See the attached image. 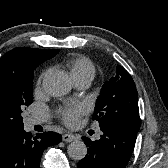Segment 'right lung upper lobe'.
<instances>
[{
  "label": "right lung upper lobe",
  "mask_w": 168,
  "mask_h": 168,
  "mask_svg": "<svg viewBox=\"0 0 168 168\" xmlns=\"http://www.w3.org/2000/svg\"><path fill=\"white\" fill-rule=\"evenodd\" d=\"M58 49L43 50L28 47L12 49L0 58V98L11 93L14 84L33 75L37 65L52 58ZM7 131L0 129V137Z\"/></svg>",
  "instance_id": "obj_1"
}]
</instances>
